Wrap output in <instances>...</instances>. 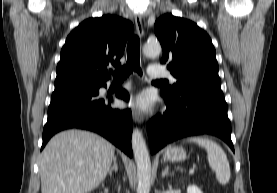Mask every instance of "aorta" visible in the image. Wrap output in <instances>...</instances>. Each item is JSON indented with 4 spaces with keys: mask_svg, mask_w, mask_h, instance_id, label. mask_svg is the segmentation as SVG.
<instances>
[{
    "mask_svg": "<svg viewBox=\"0 0 277 193\" xmlns=\"http://www.w3.org/2000/svg\"><path fill=\"white\" fill-rule=\"evenodd\" d=\"M161 50V45L158 42H148L143 47V53L148 57L158 56L161 53ZM131 142L138 172L137 192L149 193L151 161L142 132L137 128L133 130Z\"/></svg>",
    "mask_w": 277,
    "mask_h": 193,
    "instance_id": "762f6f07",
    "label": "aorta"
}]
</instances>
